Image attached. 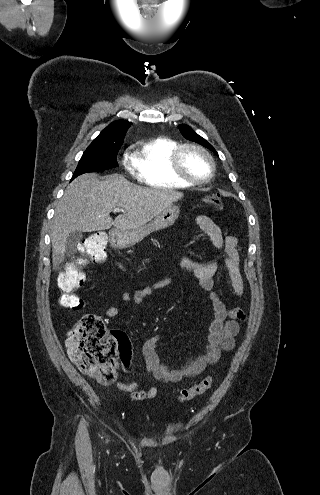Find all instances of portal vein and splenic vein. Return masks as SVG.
<instances>
[{
    "label": "portal vein and splenic vein",
    "mask_w": 320,
    "mask_h": 495,
    "mask_svg": "<svg viewBox=\"0 0 320 495\" xmlns=\"http://www.w3.org/2000/svg\"><path fill=\"white\" fill-rule=\"evenodd\" d=\"M114 211L115 212H123L124 210L122 208H115Z\"/></svg>",
    "instance_id": "portal-vein-and-splenic-vein-1"
}]
</instances>
